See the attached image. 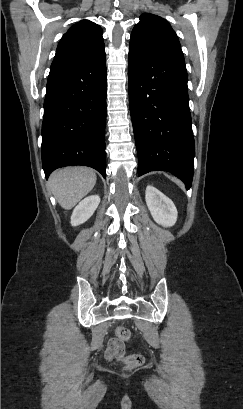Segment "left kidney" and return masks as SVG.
I'll list each match as a JSON object with an SVG mask.
<instances>
[{"mask_svg": "<svg viewBox=\"0 0 243 409\" xmlns=\"http://www.w3.org/2000/svg\"><path fill=\"white\" fill-rule=\"evenodd\" d=\"M145 200L150 213L158 224L171 227L177 221V209L167 196L153 186H147Z\"/></svg>", "mask_w": 243, "mask_h": 409, "instance_id": "5707ae66", "label": "left kidney"}]
</instances>
